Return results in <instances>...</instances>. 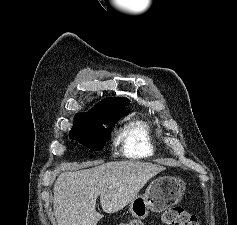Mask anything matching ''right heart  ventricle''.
I'll list each match as a JSON object with an SVG mask.
<instances>
[{"label": "right heart ventricle", "mask_w": 237, "mask_h": 225, "mask_svg": "<svg viewBox=\"0 0 237 225\" xmlns=\"http://www.w3.org/2000/svg\"><path fill=\"white\" fill-rule=\"evenodd\" d=\"M119 137L126 156L147 157L154 152L151 132L146 123L138 122L125 127Z\"/></svg>", "instance_id": "right-heart-ventricle-1"}]
</instances>
